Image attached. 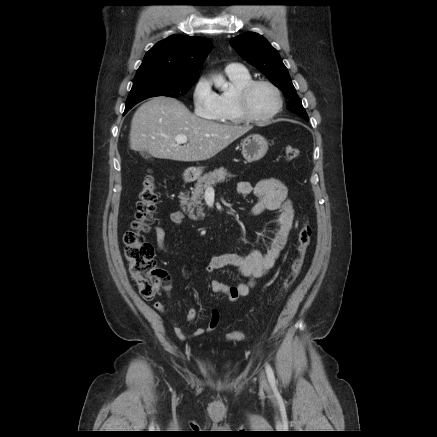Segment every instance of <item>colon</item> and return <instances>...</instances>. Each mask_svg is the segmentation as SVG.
<instances>
[{"label": "colon", "mask_w": 437, "mask_h": 437, "mask_svg": "<svg viewBox=\"0 0 437 437\" xmlns=\"http://www.w3.org/2000/svg\"><path fill=\"white\" fill-rule=\"evenodd\" d=\"M285 156L288 160H294L299 156V149L287 146ZM156 202L155 179L151 174H147L136 202L135 218L131 223V228L124 234V254L128 270L144 299L154 298L163 287L165 279L164 272L157 268L154 248L144 237L149 231ZM311 235V226L308 221H304L298 231L296 255L275 296V301L282 297L300 273L310 245ZM244 337L243 331L236 330L227 335V340L239 342Z\"/></svg>", "instance_id": "obj_1"}]
</instances>
